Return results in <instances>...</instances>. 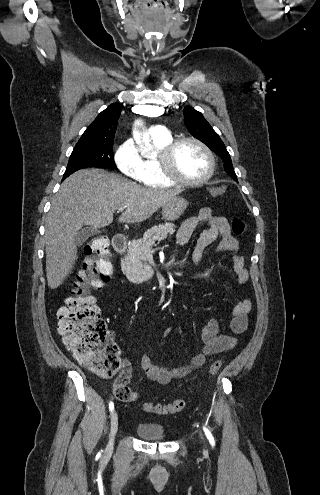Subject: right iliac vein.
Listing matches in <instances>:
<instances>
[{"label": "right iliac vein", "instance_id": "1", "mask_svg": "<svg viewBox=\"0 0 320 495\" xmlns=\"http://www.w3.org/2000/svg\"><path fill=\"white\" fill-rule=\"evenodd\" d=\"M117 430H118V414L116 411H114L112 413V417H111V432H110V439H109V443L107 445V448H106V453H111L113 451V446H114V439H115V435L117 433Z\"/></svg>", "mask_w": 320, "mask_h": 495}]
</instances>
